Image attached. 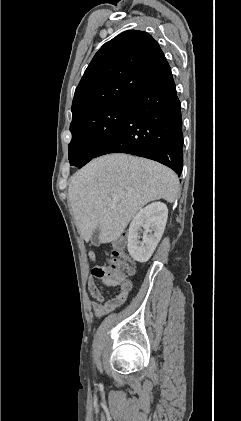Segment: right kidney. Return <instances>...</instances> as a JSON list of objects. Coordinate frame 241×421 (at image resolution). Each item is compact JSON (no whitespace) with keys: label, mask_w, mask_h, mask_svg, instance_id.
I'll return each instance as SVG.
<instances>
[{"label":"right kidney","mask_w":241,"mask_h":421,"mask_svg":"<svg viewBox=\"0 0 241 421\" xmlns=\"http://www.w3.org/2000/svg\"><path fill=\"white\" fill-rule=\"evenodd\" d=\"M168 218V209L162 202H153L141 209L129 226L127 249L138 262H146L157 247ZM143 229L142 241L139 232Z\"/></svg>","instance_id":"right-kidney-1"}]
</instances>
